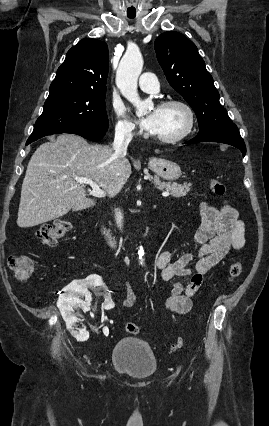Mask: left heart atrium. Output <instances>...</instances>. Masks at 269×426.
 Listing matches in <instances>:
<instances>
[{
	"label": "left heart atrium",
	"mask_w": 269,
	"mask_h": 426,
	"mask_svg": "<svg viewBox=\"0 0 269 426\" xmlns=\"http://www.w3.org/2000/svg\"><path fill=\"white\" fill-rule=\"evenodd\" d=\"M156 117H157V112L152 111L150 114H148L147 116H145L144 118L140 120V125L144 129L150 131L155 125Z\"/></svg>",
	"instance_id": "left-heart-atrium-1"
}]
</instances>
